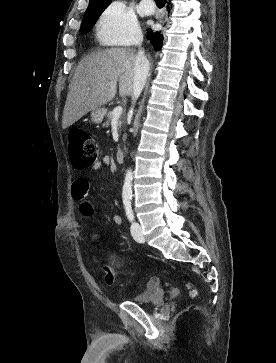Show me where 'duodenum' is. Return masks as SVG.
I'll list each match as a JSON object with an SVG mask.
<instances>
[{"label": "duodenum", "instance_id": "1", "mask_svg": "<svg viewBox=\"0 0 276 363\" xmlns=\"http://www.w3.org/2000/svg\"><path fill=\"white\" fill-rule=\"evenodd\" d=\"M125 158V152L122 149L116 151V160L118 162H123Z\"/></svg>", "mask_w": 276, "mask_h": 363}]
</instances>
